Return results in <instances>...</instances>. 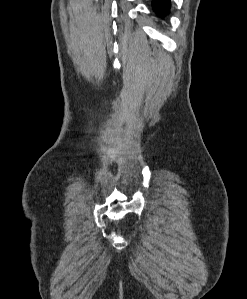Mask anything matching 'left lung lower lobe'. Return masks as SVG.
Returning a JSON list of instances; mask_svg holds the SVG:
<instances>
[{
    "label": "left lung lower lobe",
    "mask_w": 247,
    "mask_h": 299,
    "mask_svg": "<svg viewBox=\"0 0 247 299\" xmlns=\"http://www.w3.org/2000/svg\"><path fill=\"white\" fill-rule=\"evenodd\" d=\"M152 5L156 14L163 17L169 11L170 0H153Z\"/></svg>",
    "instance_id": "1"
}]
</instances>
